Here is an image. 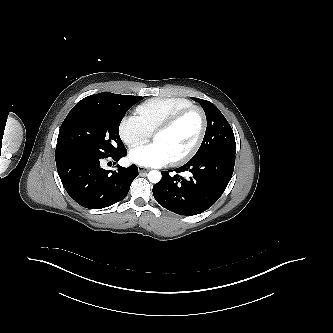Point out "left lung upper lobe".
Segmentation results:
<instances>
[{
    "mask_svg": "<svg viewBox=\"0 0 333 333\" xmlns=\"http://www.w3.org/2000/svg\"><path fill=\"white\" fill-rule=\"evenodd\" d=\"M193 100L199 102L205 111L207 129L203 142L192 159L211 153H236L233 130L220 110L207 100L199 98H193Z\"/></svg>",
    "mask_w": 333,
    "mask_h": 333,
    "instance_id": "left-lung-upper-lobe-1",
    "label": "left lung upper lobe"
}]
</instances>
